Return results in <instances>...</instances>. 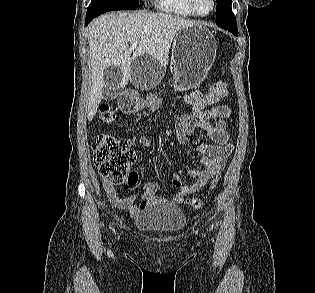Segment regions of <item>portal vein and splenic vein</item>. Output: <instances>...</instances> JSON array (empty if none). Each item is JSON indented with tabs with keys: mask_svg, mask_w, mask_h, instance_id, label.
<instances>
[{
	"mask_svg": "<svg viewBox=\"0 0 315 293\" xmlns=\"http://www.w3.org/2000/svg\"><path fill=\"white\" fill-rule=\"evenodd\" d=\"M137 47V42H134L130 46V50H134Z\"/></svg>",
	"mask_w": 315,
	"mask_h": 293,
	"instance_id": "obj_1",
	"label": "portal vein and splenic vein"
}]
</instances>
